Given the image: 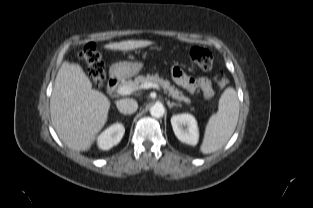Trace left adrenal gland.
<instances>
[{"mask_svg":"<svg viewBox=\"0 0 313 208\" xmlns=\"http://www.w3.org/2000/svg\"><path fill=\"white\" fill-rule=\"evenodd\" d=\"M167 105L169 108H172L173 106H181L180 104L174 103V102H170L169 100H167Z\"/></svg>","mask_w":313,"mask_h":208,"instance_id":"obj_1","label":"left adrenal gland"}]
</instances>
